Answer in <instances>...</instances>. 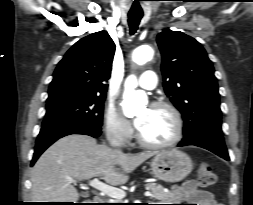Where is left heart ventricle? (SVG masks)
Masks as SVG:
<instances>
[{"instance_id":"1","label":"left heart ventricle","mask_w":253,"mask_h":205,"mask_svg":"<svg viewBox=\"0 0 253 205\" xmlns=\"http://www.w3.org/2000/svg\"><path fill=\"white\" fill-rule=\"evenodd\" d=\"M138 117H143V123L138 131L145 140L162 143L173 137L175 124L169 111L160 108H143L138 112Z\"/></svg>"}]
</instances>
